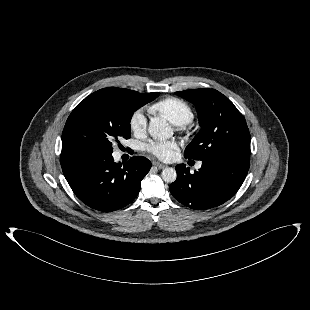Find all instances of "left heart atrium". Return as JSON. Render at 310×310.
I'll return each mask as SVG.
<instances>
[{
    "instance_id": "obj_1",
    "label": "left heart atrium",
    "mask_w": 310,
    "mask_h": 310,
    "mask_svg": "<svg viewBox=\"0 0 310 310\" xmlns=\"http://www.w3.org/2000/svg\"><path fill=\"white\" fill-rule=\"evenodd\" d=\"M178 145L171 140H152L145 145V149L161 160H170Z\"/></svg>"
}]
</instances>
